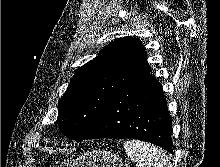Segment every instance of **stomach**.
I'll list each match as a JSON object with an SVG mask.
<instances>
[{"instance_id":"0dacf381","label":"stomach","mask_w":220,"mask_h":167,"mask_svg":"<svg viewBox=\"0 0 220 167\" xmlns=\"http://www.w3.org/2000/svg\"><path fill=\"white\" fill-rule=\"evenodd\" d=\"M59 167H123L122 159L107 150H93L64 161Z\"/></svg>"}]
</instances>
